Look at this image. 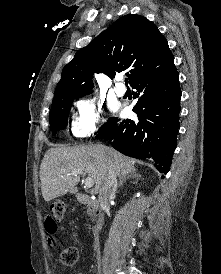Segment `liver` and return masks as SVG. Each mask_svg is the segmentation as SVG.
<instances>
[{
    "instance_id": "6515ba94",
    "label": "liver",
    "mask_w": 221,
    "mask_h": 274,
    "mask_svg": "<svg viewBox=\"0 0 221 274\" xmlns=\"http://www.w3.org/2000/svg\"><path fill=\"white\" fill-rule=\"evenodd\" d=\"M111 164L118 176L135 173L133 160L101 144L49 149L40 166L44 200L49 202L67 193L78 192L76 185L80 181V174H71L76 170L86 172L94 180L95 192L99 193Z\"/></svg>"
}]
</instances>
